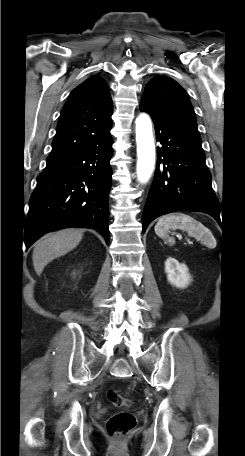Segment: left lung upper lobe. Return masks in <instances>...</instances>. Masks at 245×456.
I'll use <instances>...</instances> for the list:
<instances>
[{"mask_svg": "<svg viewBox=\"0 0 245 456\" xmlns=\"http://www.w3.org/2000/svg\"><path fill=\"white\" fill-rule=\"evenodd\" d=\"M140 107L199 135L194 109L185 90L174 80L156 76L145 86Z\"/></svg>", "mask_w": 245, "mask_h": 456, "instance_id": "5c2ea615", "label": "left lung upper lobe"}]
</instances>
